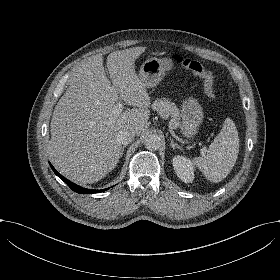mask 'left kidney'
Masks as SVG:
<instances>
[{
	"instance_id": "1",
	"label": "left kidney",
	"mask_w": 280,
	"mask_h": 280,
	"mask_svg": "<svg viewBox=\"0 0 280 280\" xmlns=\"http://www.w3.org/2000/svg\"><path fill=\"white\" fill-rule=\"evenodd\" d=\"M173 168L177 176L185 183H192L194 180V167L192 162L183 157L175 156L172 162Z\"/></svg>"
}]
</instances>
